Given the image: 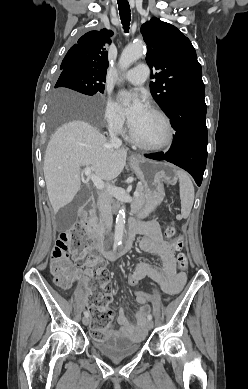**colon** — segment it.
<instances>
[{
	"mask_svg": "<svg viewBox=\"0 0 248 389\" xmlns=\"http://www.w3.org/2000/svg\"><path fill=\"white\" fill-rule=\"evenodd\" d=\"M175 233L173 223H169L166 227V234L172 237ZM177 250H180L183 244L182 238L173 241ZM72 255V256H71ZM87 260L91 264V270L87 276L92 278V292L94 295L90 298L91 305L88 306V311L93 312V321L89 332H93L98 338L104 336V332L110 329V324L113 319V311L105 304L111 300V289H105L109 279L110 272L103 266L96 251L91 247L85 237L81 227L73 226L59 233L50 262V271L54 282L57 286L67 288L71 282L78 276L76 267L70 262ZM178 269L184 272L188 268V260L184 253L178 254ZM126 282L130 288H136L138 279L132 277L131 273L125 274ZM134 298H141V301H149L150 304H157L162 299L160 294H155L154 291H145L143 288L137 289L132 293ZM170 299V296H167Z\"/></svg>",
	"mask_w": 248,
	"mask_h": 389,
	"instance_id": "colon-1",
	"label": "colon"
}]
</instances>
